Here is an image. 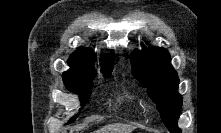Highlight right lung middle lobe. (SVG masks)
<instances>
[{
	"instance_id": "obj_1",
	"label": "right lung middle lobe",
	"mask_w": 221,
	"mask_h": 133,
	"mask_svg": "<svg viewBox=\"0 0 221 133\" xmlns=\"http://www.w3.org/2000/svg\"><path fill=\"white\" fill-rule=\"evenodd\" d=\"M103 72L105 76H109L112 71V66H105L103 67ZM96 75V71L94 68L89 69L84 72H80L77 74L69 75V76H63L64 84L67 86V88L74 92L80 93L81 103L82 106L85 105L87 102L91 89H92V80L94 76ZM78 115H75L69 122L75 121Z\"/></svg>"
}]
</instances>
